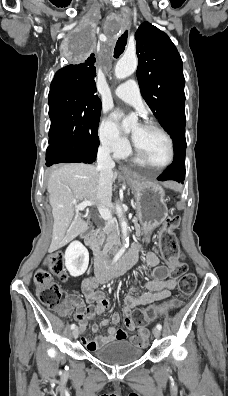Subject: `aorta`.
I'll use <instances>...</instances> for the list:
<instances>
[{
    "label": "aorta",
    "instance_id": "aorta-1",
    "mask_svg": "<svg viewBox=\"0 0 228 396\" xmlns=\"http://www.w3.org/2000/svg\"><path fill=\"white\" fill-rule=\"evenodd\" d=\"M137 68V58L135 56H123L115 66V76L117 79H124L135 72ZM137 123V118L134 116L127 117L122 121L123 129L128 132L133 128ZM116 213L120 219V225L123 235V248L129 246V237H128V224L123 215L122 207L119 204H116Z\"/></svg>",
    "mask_w": 228,
    "mask_h": 396
}]
</instances>
